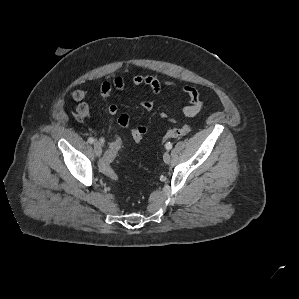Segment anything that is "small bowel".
Returning <instances> with one entry per match:
<instances>
[{
  "label": "small bowel",
  "instance_id": "obj_1",
  "mask_svg": "<svg viewBox=\"0 0 299 299\" xmlns=\"http://www.w3.org/2000/svg\"><path fill=\"white\" fill-rule=\"evenodd\" d=\"M132 84L135 87H140L143 85L148 86L154 94H159L162 90L163 85L175 89L178 88L177 85L170 80H166L162 83L154 76L142 75V74L135 75L132 79ZM124 87H125L124 79L122 77H115L112 81H105L102 83L100 87V95L104 100H108L113 90L122 91ZM181 90L184 94H186L189 101L187 105L182 107L180 111L181 117L190 118L196 116L204 108V103L199 99V94L197 90L191 86H184L181 88ZM87 98H88L87 92L82 89H76L72 92V99L78 103L76 108V115L80 120L86 119L90 114V107L86 101ZM141 106L145 110L151 111L155 106V102L150 99H145L141 102ZM117 114H118L117 106L115 104H109L106 108V115L108 121L113 122ZM161 117L173 123L178 122V119L170 117L164 113L161 114ZM117 123L122 128H128L130 124L129 115L127 113H121L117 117ZM137 127H140L145 132H147V128L145 126L139 125ZM99 141L100 143H104L105 139L102 137L99 139Z\"/></svg>",
  "mask_w": 299,
  "mask_h": 299
}]
</instances>
